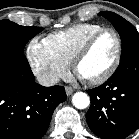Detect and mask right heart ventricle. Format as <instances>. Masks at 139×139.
<instances>
[{
  "label": "right heart ventricle",
  "mask_w": 139,
  "mask_h": 139,
  "mask_svg": "<svg viewBox=\"0 0 139 139\" xmlns=\"http://www.w3.org/2000/svg\"><path fill=\"white\" fill-rule=\"evenodd\" d=\"M101 28L103 26L96 23L76 24L54 32L44 40L54 53L67 63H70L86 39Z\"/></svg>",
  "instance_id": "1"
}]
</instances>
